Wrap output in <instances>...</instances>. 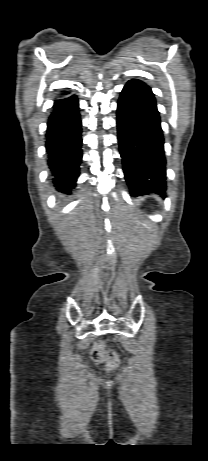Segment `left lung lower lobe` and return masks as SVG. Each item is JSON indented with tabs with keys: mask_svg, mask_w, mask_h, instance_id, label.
Masks as SVG:
<instances>
[{
	"mask_svg": "<svg viewBox=\"0 0 208 461\" xmlns=\"http://www.w3.org/2000/svg\"><path fill=\"white\" fill-rule=\"evenodd\" d=\"M117 128L125 179L133 196L164 195V138L154 94L138 79L124 86L117 107Z\"/></svg>",
	"mask_w": 208,
	"mask_h": 461,
	"instance_id": "obj_1",
	"label": "left lung lower lobe"
}]
</instances>
